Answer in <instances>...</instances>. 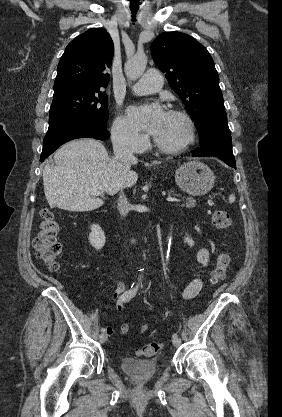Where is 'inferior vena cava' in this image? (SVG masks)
Returning a JSON list of instances; mask_svg holds the SVG:
<instances>
[{
    "label": "inferior vena cava",
    "instance_id": "602c4592",
    "mask_svg": "<svg viewBox=\"0 0 282 417\" xmlns=\"http://www.w3.org/2000/svg\"><path fill=\"white\" fill-rule=\"evenodd\" d=\"M112 140H113V150H114V162H119L124 166L126 172L130 170V166L132 162H136L137 158L133 154L131 140H129L126 134H120V132H112ZM119 215L121 217H126L130 211V204L124 194V192H120L119 200L117 202Z\"/></svg>",
    "mask_w": 282,
    "mask_h": 417
}]
</instances>
